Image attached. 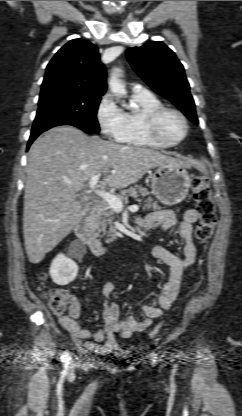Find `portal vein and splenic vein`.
Here are the masks:
<instances>
[{
    "mask_svg": "<svg viewBox=\"0 0 242 416\" xmlns=\"http://www.w3.org/2000/svg\"><path fill=\"white\" fill-rule=\"evenodd\" d=\"M100 176H101L100 174H96L89 180L90 188L94 189V193L98 195L99 197H101L102 199H104L115 211H122L124 205H123L122 200L119 197L109 192L95 189L97 183L99 182ZM138 208L139 207L137 205H131L129 206L128 209L130 211H137Z\"/></svg>",
    "mask_w": 242,
    "mask_h": 416,
    "instance_id": "obj_1",
    "label": "portal vein and splenic vein"
}]
</instances>
